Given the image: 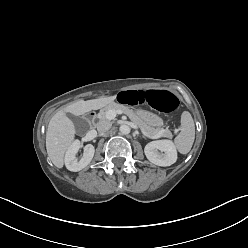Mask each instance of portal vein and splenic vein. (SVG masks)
<instances>
[{
    "label": "portal vein and splenic vein",
    "instance_id": "18ae733b",
    "mask_svg": "<svg viewBox=\"0 0 248 248\" xmlns=\"http://www.w3.org/2000/svg\"><path fill=\"white\" fill-rule=\"evenodd\" d=\"M123 112L121 110H109L107 113H106V119L108 120H113L117 114H122ZM141 131L145 134H147L143 129H141ZM165 131V129H163L161 132ZM160 132V133H161ZM160 133L157 134V135H154L152 136L153 138H158L160 137Z\"/></svg>",
    "mask_w": 248,
    "mask_h": 248
}]
</instances>
